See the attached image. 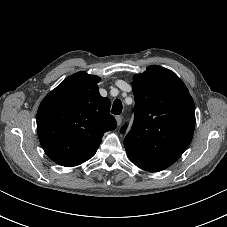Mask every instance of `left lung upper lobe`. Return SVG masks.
<instances>
[{
    "label": "left lung upper lobe",
    "instance_id": "1",
    "mask_svg": "<svg viewBox=\"0 0 227 227\" xmlns=\"http://www.w3.org/2000/svg\"><path fill=\"white\" fill-rule=\"evenodd\" d=\"M132 85L135 116L133 129L124 140L125 150L139 168L164 170L179 159L192 140L193 99L174 72L157 65L134 76Z\"/></svg>",
    "mask_w": 227,
    "mask_h": 227
}]
</instances>
